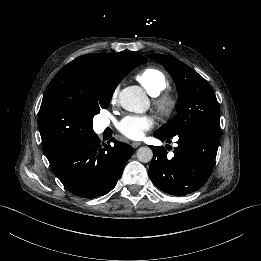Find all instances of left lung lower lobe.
Segmentation results:
<instances>
[{
	"instance_id": "obj_1",
	"label": "left lung lower lobe",
	"mask_w": 261,
	"mask_h": 261,
	"mask_svg": "<svg viewBox=\"0 0 261 261\" xmlns=\"http://www.w3.org/2000/svg\"><path fill=\"white\" fill-rule=\"evenodd\" d=\"M153 135L162 140L170 139L156 132ZM177 137L178 146L174 147L172 159L167 157L163 146L155 147L148 174L161 191L185 196L198 191L210 177L221 134L209 127L198 126Z\"/></svg>"
}]
</instances>
